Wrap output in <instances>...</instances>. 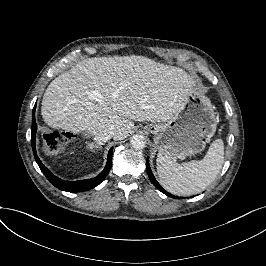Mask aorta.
Returning a JSON list of instances; mask_svg holds the SVG:
<instances>
[{
    "mask_svg": "<svg viewBox=\"0 0 266 266\" xmlns=\"http://www.w3.org/2000/svg\"><path fill=\"white\" fill-rule=\"evenodd\" d=\"M130 144L131 147L134 148L135 150H141L145 148L146 141L144 137L141 135H133L132 138L130 139Z\"/></svg>",
    "mask_w": 266,
    "mask_h": 266,
    "instance_id": "aorta-1",
    "label": "aorta"
}]
</instances>
